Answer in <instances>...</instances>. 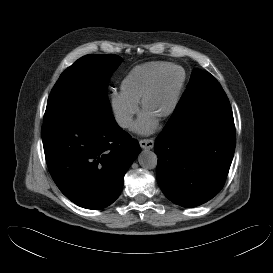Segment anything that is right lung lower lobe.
<instances>
[{
	"label": "right lung lower lobe",
	"mask_w": 273,
	"mask_h": 273,
	"mask_svg": "<svg viewBox=\"0 0 273 273\" xmlns=\"http://www.w3.org/2000/svg\"><path fill=\"white\" fill-rule=\"evenodd\" d=\"M42 140L49 172L72 202L103 209L120 195L124 175L137 158V140L110 111L66 108L44 119Z\"/></svg>",
	"instance_id": "1"
}]
</instances>
